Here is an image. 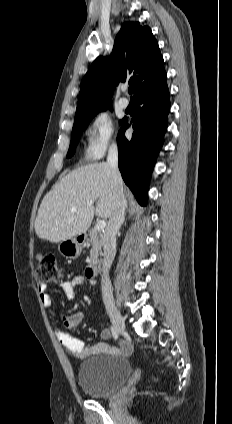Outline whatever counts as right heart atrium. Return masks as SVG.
Here are the masks:
<instances>
[{"instance_id":"right-heart-atrium-1","label":"right heart atrium","mask_w":232,"mask_h":424,"mask_svg":"<svg viewBox=\"0 0 232 424\" xmlns=\"http://www.w3.org/2000/svg\"><path fill=\"white\" fill-rule=\"evenodd\" d=\"M117 147V132L113 119L106 112L98 113L91 121L87 134V154L102 158Z\"/></svg>"}]
</instances>
